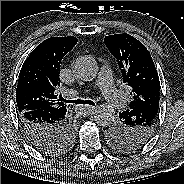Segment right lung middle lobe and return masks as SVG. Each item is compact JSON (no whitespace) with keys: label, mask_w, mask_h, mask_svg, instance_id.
Returning a JSON list of instances; mask_svg holds the SVG:
<instances>
[{"label":"right lung middle lobe","mask_w":184,"mask_h":184,"mask_svg":"<svg viewBox=\"0 0 184 184\" xmlns=\"http://www.w3.org/2000/svg\"><path fill=\"white\" fill-rule=\"evenodd\" d=\"M74 138V129H68L65 136L62 138L61 144L55 148H43L40 151L47 155H58L65 152L71 146Z\"/></svg>","instance_id":"dd1d6c3e"}]
</instances>
